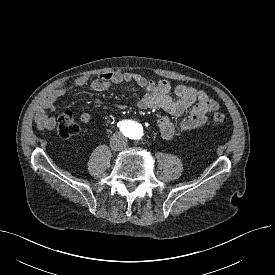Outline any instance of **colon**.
I'll list each match as a JSON object with an SVG mask.
<instances>
[{
    "mask_svg": "<svg viewBox=\"0 0 275 275\" xmlns=\"http://www.w3.org/2000/svg\"><path fill=\"white\" fill-rule=\"evenodd\" d=\"M210 121L214 125H222L226 123L227 116L224 112L215 111L210 116ZM79 131V125L71 113H62L58 118L57 133L62 138H70Z\"/></svg>",
    "mask_w": 275,
    "mask_h": 275,
    "instance_id": "5ec220e1",
    "label": "colon"
}]
</instances>
